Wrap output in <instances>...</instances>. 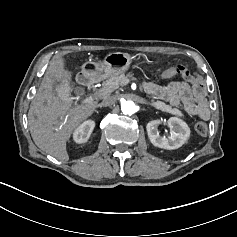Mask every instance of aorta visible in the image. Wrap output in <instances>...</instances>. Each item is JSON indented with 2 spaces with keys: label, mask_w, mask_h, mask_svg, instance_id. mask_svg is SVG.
Segmentation results:
<instances>
[{
  "label": "aorta",
  "mask_w": 237,
  "mask_h": 237,
  "mask_svg": "<svg viewBox=\"0 0 237 237\" xmlns=\"http://www.w3.org/2000/svg\"><path fill=\"white\" fill-rule=\"evenodd\" d=\"M121 111L124 115H132L136 112V105L132 101H123Z\"/></svg>",
  "instance_id": "1"
}]
</instances>
